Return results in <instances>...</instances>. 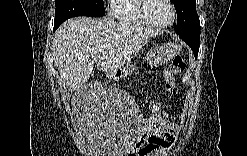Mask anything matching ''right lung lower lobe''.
Wrapping results in <instances>:
<instances>
[{
  "label": "right lung lower lobe",
  "instance_id": "1",
  "mask_svg": "<svg viewBox=\"0 0 247 156\" xmlns=\"http://www.w3.org/2000/svg\"><path fill=\"white\" fill-rule=\"evenodd\" d=\"M59 26L54 25V31L58 28Z\"/></svg>",
  "mask_w": 247,
  "mask_h": 156
}]
</instances>
